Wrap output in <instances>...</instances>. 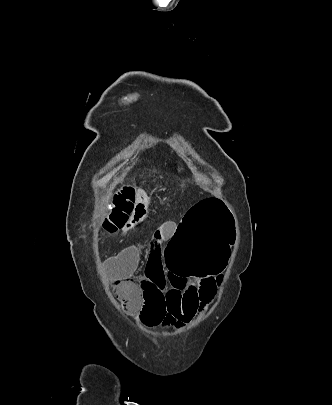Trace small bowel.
Listing matches in <instances>:
<instances>
[{
	"instance_id": "obj_1",
	"label": "small bowel",
	"mask_w": 332,
	"mask_h": 405,
	"mask_svg": "<svg viewBox=\"0 0 332 405\" xmlns=\"http://www.w3.org/2000/svg\"><path fill=\"white\" fill-rule=\"evenodd\" d=\"M136 201L137 208H131V217H138L133 225L142 222L148 214L149 199L147 185H142ZM175 223L159 227L150 239V254L144 270L139 274L138 291L142 292L139 326H173L180 328L211 302L216 285L213 275H171L165 270L161 244L173 240ZM141 245H130L107 257L104 265L111 276L118 281L128 279L136 270ZM168 294V296H167Z\"/></svg>"
}]
</instances>
